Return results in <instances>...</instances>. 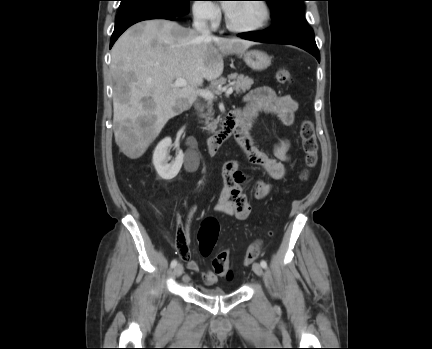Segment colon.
Returning <instances> with one entry per match:
<instances>
[{
	"instance_id": "1",
	"label": "colon",
	"mask_w": 432,
	"mask_h": 349,
	"mask_svg": "<svg viewBox=\"0 0 432 349\" xmlns=\"http://www.w3.org/2000/svg\"><path fill=\"white\" fill-rule=\"evenodd\" d=\"M276 79L279 84L290 85L293 81L291 72L286 68H280L276 73ZM300 138L302 150L305 155V168L301 174V178L305 180L308 177L309 171L314 168L318 160V142L314 125L310 120H304L300 126ZM219 227L214 219H207L203 222L199 230V249L203 256H209L214 248L218 237ZM183 244V240H179ZM261 246L256 242L250 245L245 253L243 264L248 266L252 264L260 255ZM212 266L217 275L220 277L231 279L232 267L230 254L227 251L217 253L213 260Z\"/></svg>"
}]
</instances>
